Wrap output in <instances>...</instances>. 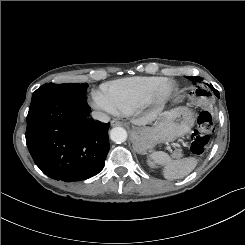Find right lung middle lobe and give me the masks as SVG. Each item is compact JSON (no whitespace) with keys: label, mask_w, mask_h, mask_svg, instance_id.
Here are the masks:
<instances>
[{"label":"right lung middle lobe","mask_w":245,"mask_h":245,"mask_svg":"<svg viewBox=\"0 0 245 245\" xmlns=\"http://www.w3.org/2000/svg\"><path fill=\"white\" fill-rule=\"evenodd\" d=\"M88 88V84H54L47 83L39 87L36 91L33 92L32 100H35L39 97L49 95V94H66L73 96H85Z\"/></svg>","instance_id":"obj_1"}]
</instances>
